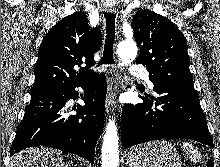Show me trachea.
<instances>
[{"label": "trachea", "instance_id": "1", "mask_svg": "<svg viewBox=\"0 0 220 167\" xmlns=\"http://www.w3.org/2000/svg\"><path fill=\"white\" fill-rule=\"evenodd\" d=\"M106 20V39L104 44L103 56L98 66L113 64V44L115 39V14L105 13Z\"/></svg>", "mask_w": 220, "mask_h": 167}]
</instances>
